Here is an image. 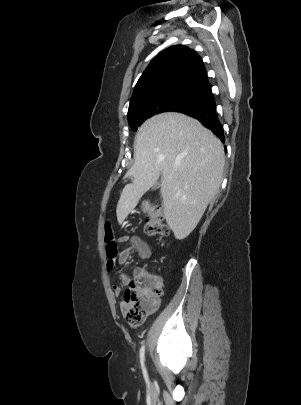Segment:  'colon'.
Returning a JSON list of instances; mask_svg holds the SVG:
<instances>
[{"label":"colon","instance_id":"5ec220e1","mask_svg":"<svg viewBox=\"0 0 301 405\" xmlns=\"http://www.w3.org/2000/svg\"><path fill=\"white\" fill-rule=\"evenodd\" d=\"M147 214L145 233L151 237H165L169 230L163 212L148 203L143 206ZM104 241L108 258L118 252V245L114 239V231L110 222L104 224ZM162 295V284L158 276L143 270H137L123 294L121 310L131 327H139L147 316L156 310Z\"/></svg>","mask_w":301,"mask_h":405}]
</instances>
